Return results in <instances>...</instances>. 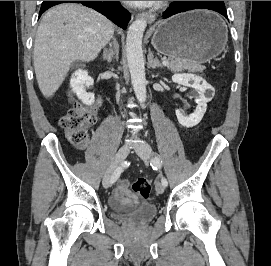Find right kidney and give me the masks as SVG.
I'll use <instances>...</instances> for the list:
<instances>
[{"instance_id":"ca27d5eb","label":"right kidney","mask_w":271,"mask_h":266,"mask_svg":"<svg viewBox=\"0 0 271 266\" xmlns=\"http://www.w3.org/2000/svg\"><path fill=\"white\" fill-rule=\"evenodd\" d=\"M93 84V78L88 75L86 70L81 69L75 71L70 80L71 90L75 92L78 99L86 105H92L95 101L94 94L86 92V88H89Z\"/></svg>"}]
</instances>
